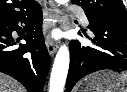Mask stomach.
<instances>
[{
	"label": "stomach",
	"instance_id": "stomach-1",
	"mask_svg": "<svg viewBox=\"0 0 127 92\" xmlns=\"http://www.w3.org/2000/svg\"><path fill=\"white\" fill-rule=\"evenodd\" d=\"M125 86L120 75L113 71H101L88 77L80 92H118Z\"/></svg>",
	"mask_w": 127,
	"mask_h": 92
}]
</instances>
